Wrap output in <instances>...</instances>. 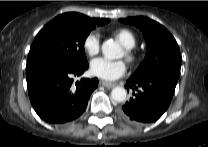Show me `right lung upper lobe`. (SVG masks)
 I'll use <instances>...</instances> for the list:
<instances>
[{"instance_id":"obj_1","label":"right lung upper lobe","mask_w":208,"mask_h":147,"mask_svg":"<svg viewBox=\"0 0 208 147\" xmlns=\"http://www.w3.org/2000/svg\"><path fill=\"white\" fill-rule=\"evenodd\" d=\"M60 16H73V17H76V18H79V19H82L84 21L91 22V23H102L106 20L103 18H89L83 14L75 13V12L64 13V14H61Z\"/></svg>"}]
</instances>
